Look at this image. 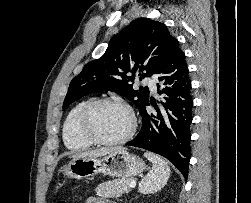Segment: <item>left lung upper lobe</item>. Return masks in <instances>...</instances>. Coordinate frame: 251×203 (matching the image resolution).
<instances>
[{
	"instance_id": "5c2ea615",
	"label": "left lung upper lobe",
	"mask_w": 251,
	"mask_h": 203,
	"mask_svg": "<svg viewBox=\"0 0 251 203\" xmlns=\"http://www.w3.org/2000/svg\"><path fill=\"white\" fill-rule=\"evenodd\" d=\"M175 38L165 24L148 18L132 21L109 42L104 55L86 64L70 83L63 110L77 99L99 91H113L132 101L139 112L149 100V90H134L140 80L156 73L167 58ZM132 74V76L129 75Z\"/></svg>"
}]
</instances>
